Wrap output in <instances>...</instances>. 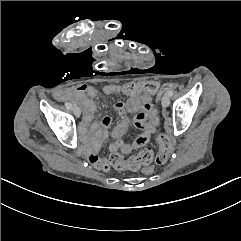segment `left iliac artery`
<instances>
[{"mask_svg": "<svg viewBox=\"0 0 241 241\" xmlns=\"http://www.w3.org/2000/svg\"><path fill=\"white\" fill-rule=\"evenodd\" d=\"M167 95L170 97V96H172L173 95V90H169L168 92H167Z\"/></svg>", "mask_w": 241, "mask_h": 241, "instance_id": "obj_1", "label": "left iliac artery"}]
</instances>
